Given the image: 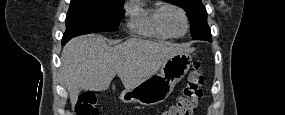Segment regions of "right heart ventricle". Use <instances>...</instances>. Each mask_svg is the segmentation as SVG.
Segmentation results:
<instances>
[{
    "label": "right heart ventricle",
    "instance_id": "right-heart-ventricle-1",
    "mask_svg": "<svg viewBox=\"0 0 285 115\" xmlns=\"http://www.w3.org/2000/svg\"><path fill=\"white\" fill-rule=\"evenodd\" d=\"M159 5H144L133 3L129 8V28L145 36L158 39L172 38L163 28L160 22Z\"/></svg>",
    "mask_w": 285,
    "mask_h": 115
}]
</instances>
